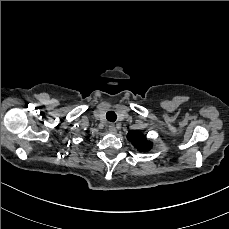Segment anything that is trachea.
Segmentation results:
<instances>
[{"mask_svg":"<svg viewBox=\"0 0 229 229\" xmlns=\"http://www.w3.org/2000/svg\"><path fill=\"white\" fill-rule=\"evenodd\" d=\"M106 118L109 122H115L117 119V115L114 111H108L106 113Z\"/></svg>","mask_w":229,"mask_h":229,"instance_id":"3493384b","label":"trachea"}]
</instances>
